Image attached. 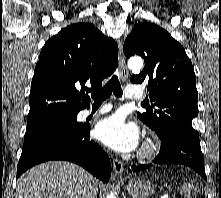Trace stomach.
<instances>
[{"instance_id": "1", "label": "stomach", "mask_w": 221, "mask_h": 198, "mask_svg": "<svg viewBox=\"0 0 221 198\" xmlns=\"http://www.w3.org/2000/svg\"><path fill=\"white\" fill-rule=\"evenodd\" d=\"M127 191L133 198H149L154 194V186L144 179L134 178L128 181Z\"/></svg>"}]
</instances>
